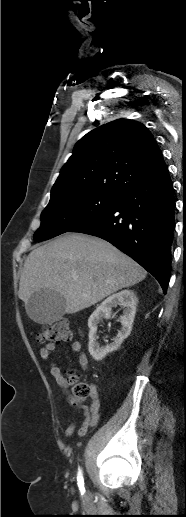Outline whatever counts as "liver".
I'll return each instance as SVG.
<instances>
[{"instance_id":"obj_1","label":"liver","mask_w":186,"mask_h":517,"mask_svg":"<svg viewBox=\"0 0 186 517\" xmlns=\"http://www.w3.org/2000/svg\"><path fill=\"white\" fill-rule=\"evenodd\" d=\"M146 275L145 269L109 242L65 234L28 255L18 296L26 306L33 293L54 290L66 301L65 313L73 314L139 283Z\"/></svg>"}]
</instances>
